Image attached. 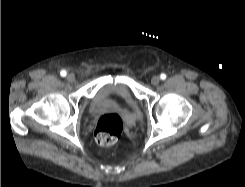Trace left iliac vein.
<instances>
[{
	"mask_svg": "<svg viewBox=\"0 0 245 187\" xmlns=\"http://www.w3.org/2000/svg\"><path fill=\"white\" fill-rule=\"evenodd\" d=\"M160 82V77L158 75H154L152 78H151V84L152 85H158Z\"/></svg>",
	"mask_w": 245,
	"mask_h": 187,
	"instance_id": "4c4485c4",
	"label": "left iliac vein"
}]
</instances>
